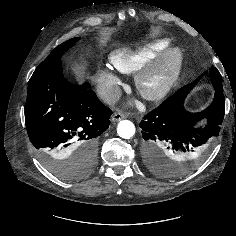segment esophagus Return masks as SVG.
I'll use <instances>...</instances> for the list:
<instances>
[{
    "instance_id": "1",
    "label": "esophagus",
    "mask_w": 236,
    "mask_h": 236,
    "mask_svg": "<svg viewBox=\"0 0 236 236\" xmlns=\"http://www.w3.org/2000/svg\"><path fill=\"white\" fill-rule=\"evenodd\" d=\"M126 116L124 113L122 112H115L113 115H112V121L113 122H117V121H120L122 119H124Z\"/></svg>"
}]
</instances>
